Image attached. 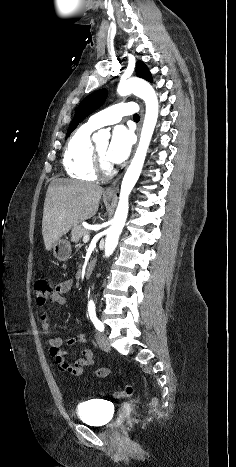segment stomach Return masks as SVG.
<instances>
[{
	"mask_svg": "<svg viewBox=\"0 0 236 467\" xmlns=\"http://www.w3.org/2000/svg\"><path fill=\"white\" fill-rule=\"evenodd\" d=\"M112 198L111 197H106L104 196V200L110 201ZM53 255L55 258H57L59 261H65L69 258L71 254V244L68 240L66 239H58L53 247Z\"/></svg>",
	"mask_w": 236,
	"mask_h": 467,
	"instance_id": "stomach-1",
	"label": "stomach"
}]
</instances>
